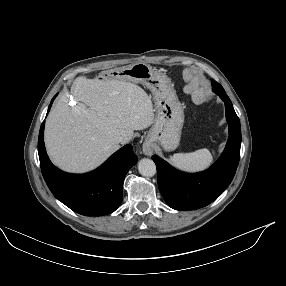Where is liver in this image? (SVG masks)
Returning a JSON list of instances; mask_svg holds the SVG:
<instances>
[{
  "instance_id": "6515ba94",
  "label": "liver",
  "mask_w": 286,
  "mask_h": 286,
  "mask_svg": "<svg viewBox=\"0 0 286 286\" xmlns=\"http://www.w3.org/2000/svg\"><path fill=\"white\" fill-rule=\"evenodd\" d=\"M69 106L65 92L45 125V145L52 161L69 172H86L101 165L119 149L118 139L129 142L134 130L154 122L150 97L139 86L118 79L74 80Z\"/></svg>"
}]
</instances>
